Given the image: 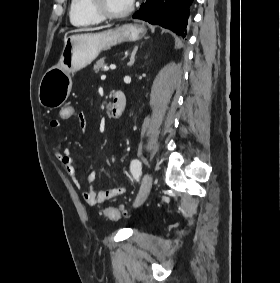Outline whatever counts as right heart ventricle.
Returning <instances> with one entry per match:
<instances>
[{"label":"right heart ventricle","mask_w":280,"mask_h":283,"mask_svg":"<svg viewBox=\"0 0 280 283\" xmlns=\"http://www.w3.org/2000/svg\"><path fill=\"white\" fill-rule=\"evenodd\" d=\"M70 21L74 26H90L103 19L91 8L89 0H71L69 8Z\"/></svg>","instance_id":"right-heart-ventricle-1"}]
</instances>
